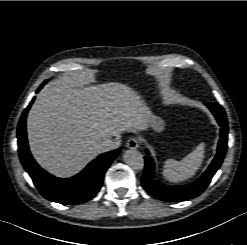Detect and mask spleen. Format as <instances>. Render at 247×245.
<instances>
[{
	"label": "spleen",
	"mask_w": 247,
	"mask_h": 245,
	"mask_svg": "<svg viewBox=\"0 0 247 245\" xmlns=\"http://www.w3.org/2000/svg\"><path fill=\"white\" fill-rule=\"evenodd\" d=\"M205 157V144L201 143L183 161L167 160L163 166V176L172 183H181L193 177L201 167Z\"/></svg>",
	"instance_id": "3e777b00"
}]
</instances>
